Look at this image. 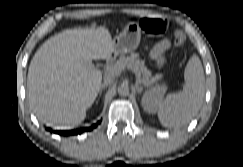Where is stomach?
<instances>
[{
    "instance_id": "1",
    "label": "stomach",
    "mask_w": 243,
    "mask_h": 167,
    "mask_svg": "<svg viewBox=\"0 0 243 167\" xmlns=\"http://www.w3.org/2000/svg\"><path fill=\"white\" fill-rule=\"evenodd\" d=\"M140 38L141 29L139 25L134 22L128 23L124 27L123 31L113 41L114 54L123 55L134 51L140 43Z\"/></svg>"
}]
</instances>
